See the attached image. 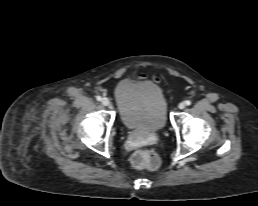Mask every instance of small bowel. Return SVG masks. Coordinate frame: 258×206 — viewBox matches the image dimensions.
<instances>
[{
    "mask_svg": "<svg viewBox=\"0 0 258 206\" xmlns=\"http://www.w3.org/2000/svg\"><path fill=\"white\" fill-rule=\"evenodd\" d=\"M134 78L138 79V80H143V79H146L147 76L145 74H138V75H135ZM152 80L155 83H159L160 82V79L158 77H153Z\"/></svg>",
    "mask_w": 258,
    "mask_h": 206,
    "instance_id": "c3829d8e",
    "label": "small bowel"
}]
</instances>
